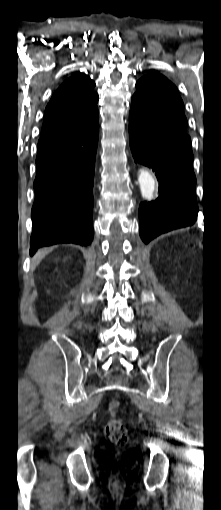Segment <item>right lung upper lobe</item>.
I'll list each match as a JSON object with an SVG mask.
<instances>
[{"instance_id": "right-lung-upper-lobe-1", "label": "right lung upper lobe", "mask_w": 221, "mask_h": 510, "mask_svg": "<svg viewBox=\"0 0 221 510\" xmlns=\"http://www.w3.org/2000/svg\"><path fill=\"white\" fill-rule=\"evenodd\" d=\"M94 86V81L83 73H75L63 82L45 109L38 144L78 133L99 117Z\"/></svg>"}]
</instances>
